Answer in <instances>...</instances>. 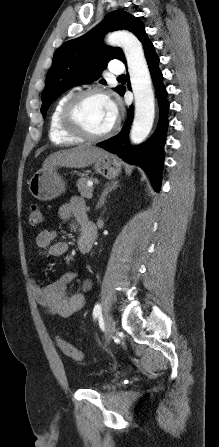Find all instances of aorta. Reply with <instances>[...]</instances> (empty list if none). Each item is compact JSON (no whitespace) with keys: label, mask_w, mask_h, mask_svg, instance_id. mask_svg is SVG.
I'll return each instance as SVG.
<instances>
[{"label":"aorta","mask_w":219,"mask_h":447,"mask_svg":"<svg viewBox=\"0 0 219 447\" xmlns=\"http://www.w3.org/2000/svg\"><path fill=\"white\" fill-rule=\"evenodd\" d=\"M107 42L122 47L126 57L135 98L130 139L133 144H139L149 135L155 116L154 93L143 47L135 35L124 30L109 34Z\"/></svg>","instance_id":"1"}]
</instances>
